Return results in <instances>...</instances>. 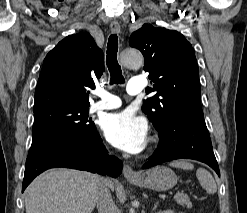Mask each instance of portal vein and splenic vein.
I'll use <instances>...</instances> for the list:
<instances>
[{
  "label": "portal vein and splenic vein",
  "mask_w": 247,
  "mask_h": 213,
  "mask_svg": "<svg viewBox=\"0 0 247 213\" xmlns=\"http://www.w3.org/2000/svg\"><path fill=\"white\" fill-rule=\"evenodd\" d=\"M177 195H179V192H176V193L174 194V197H176Z\"/></svg>",
  "instance_id": "portal-vein-and-splenic-vein-1"
}]
</instances>
